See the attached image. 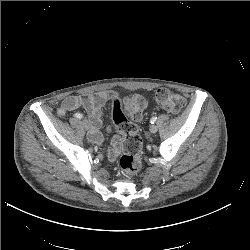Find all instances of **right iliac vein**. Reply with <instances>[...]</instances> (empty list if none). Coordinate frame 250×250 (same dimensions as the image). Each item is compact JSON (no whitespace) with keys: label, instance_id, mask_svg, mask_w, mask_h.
Segmentation results:
<instances>
[{"label":"right iliac vein","instance_id":"1","mask_svg":"<svg viewBox=\"0 0 250 250\" xmlns=\"http://www.w3.org/2000/svg\"><path fill=\"white\" fill-rule=\"evenodd\" d=\"M81 123L85 127V129L88 130L90 128V122L87 119H83Z\"/></svg>","mask_w":250,"mask_h":250}]
</instances>
